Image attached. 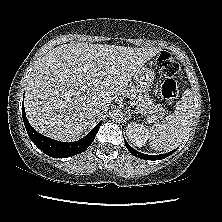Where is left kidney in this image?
<instances>
[{
  "label": "left kidney",
  "instance_id": "1",
  "mask_svg": "<svg viewBox=\"0 0 222 222\" xmlns=\"http://www.w3.org/2000/svg\"><path fill=\"white\" fill-rule=\"evenodd\" d=\"M126 135L133 145L136 147H142L146 144L148 139V130L143 124L130 122L127 125Z\"/></svg>",
  "mask_w": 222,
  "mask_h": 222
}]
</instances>
